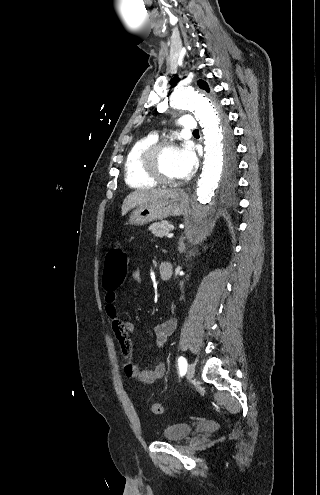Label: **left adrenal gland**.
Listing matches in <instances>:
<instances>
[{"mask_svg": "<svg viewBox=\"0 0 320 495\" xmlns=\"http://www.w3.org/2000/svg\"><path fill=\"white\" fill-rule=\"evenodd\" d=\"M180 253H182L185 250V245L183 243V240L180 241Z\"/></svg>", "mask_w": 320, "mask_h": 495, "instance_id": "left-adrenal-gland-1", "label": "left adrenal gland"}]
</instances>
